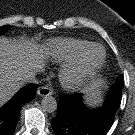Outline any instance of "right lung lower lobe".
I'll return each instance as SVG.
<instances>
[{
  "label": "right lung lower lobe",
  "instance_id": "obj_1",
  "mask_svg": "<svg viewBox=\"0 0 135 135\" xmlns=\"http://www.w3.org/2000/svg\"><path fill=\"white\" fill-rule=\"evenodd\" d=\"M37 85L23 87L5 106L0 108V135H13L22 106L34 99Z\"/></svg>",
  "mask_w": 135,
  "mask_h": 135
}]
</instances>
